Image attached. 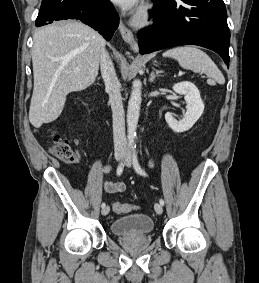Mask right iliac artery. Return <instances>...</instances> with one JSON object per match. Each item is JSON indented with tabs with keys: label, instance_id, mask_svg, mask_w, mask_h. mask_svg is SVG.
Instances as JSON below:
<instances>
[{
	"label": "right iliac artery",
	"instance_id": "1",
	"mask_svg": "<svg viewBox=\"0 0 259 283\" xmlns=\"http://www.w3.org/2000/svg\"><path fill=\"white\" fill-rule=\"evenodd\" d=\"M123 169H124V162H120L119 165H118V167H117V175H118V176L122 174ZM105 206H106L105 203H102V204H101V207H102V208H104Z\"/></svg>",
	"mask_w": 259,
	"mask_h": 283
}]
</instances>
